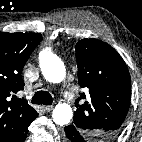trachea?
Masks as SVG:
<instances>
[{"mask_svg": "<svg viewBox=\"0 0 142 142\" xmlns=\"http://www.w3.org/2000/svg\"><path fill=\"white\" fill-rule=\"evenodd\" d=\"M53 102L52 96L47 91H37L32 97L31 103L51 105Z\"/></svg>", "mask_w": 142, "mask_h": 142, "instance_id": "obj_1", "label": "trachea"}]
</instances>
